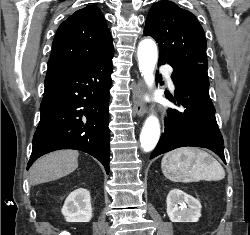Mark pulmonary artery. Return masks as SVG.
<instances>
[{"instance_id":"1","label":"pulmonary artery","mask_w":250,"mask_h":235,"mask_svg":"<svg viewBox=\"0 0 250 235\" xmlns=\"http://www.w3.org/2000/svg\"><path fill=\"white\" fill-rule=\"evenodd\" d=\"M165 72H166V70H165ZM168 82H169L170 88L174 89V83H173V81L170 78H168Z\"/></svg>"}]
</instances>
